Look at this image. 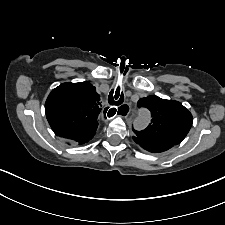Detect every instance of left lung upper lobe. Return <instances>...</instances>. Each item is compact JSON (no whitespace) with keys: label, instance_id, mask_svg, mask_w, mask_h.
<instances>
[{"label":"left lung upper lobe","instance_id":"1","mask_svg":"<svg viewBox=\"0 0 225 225\" xmlns=\"http://www.w3.org/2000/svg\"><path fill=\"white\" fill-rule=\"evenodd\" d=\"M137 104L148 108L152 115L151 123L146 129L133 130L137 138L174 146L185 138L192 126L191 113L178 101L153 95L140 99Z\"/></svg>","mask_w":225,"mask_h":225}]
</instances>
